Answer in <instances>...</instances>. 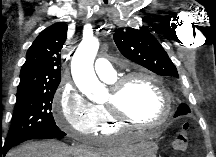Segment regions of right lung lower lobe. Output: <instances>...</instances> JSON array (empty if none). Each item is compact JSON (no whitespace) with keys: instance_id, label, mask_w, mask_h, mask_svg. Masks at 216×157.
<instances>
[{"instance_id":"1","label":"right lung lower lobe","mask_w":216,"mask_h":157,"mask_svg":"<svg viewBox=\"0 0 216 157\" xmlns=\"http://www.w3.org/2000/svg\"><path fill=\"white\" fill-rule=\"evenodd\" d=\"M66 134L60 130L57 131H53V132H47V133H41V134H35L32 135L30 137H28L27 139L21 141H27V140H31V139H52V138H61L63 136H65ZM19 142V143H21ZM19 143L16 144H10V145H6L0 148V157L5 156V154L7 153V151L13 147L14 145H17Z\"/></svg>"}]
</instances>
